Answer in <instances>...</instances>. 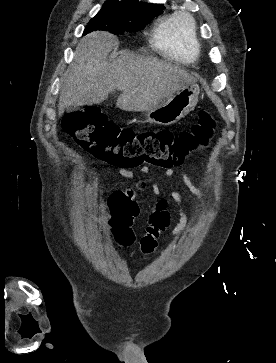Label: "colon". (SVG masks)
Masks as SVG:
<instances>
[{
    "label": "colon",
    "mask_w": 276,
    "mask_h": 363,
    "mask_svg": "<svg viewBox=\"0 0 276 363\" xmlns=\"http://www.w3.org/2000/svg\"><path fill=\"white\" fill-rule=\"evenodd\" d=\"M215 120L207 110H200L197 121L188 130L174 134L161 129L137 134L130 129H120L109 122L97 109L87 108L68 114L63 120L64 131L94 157L121 167L150 164L162 168L181 165L186 157L207 147L215 131ZM111 224L116 227L120 242L131 245L135 241L127 216L117 208L112 209ZM155 227L163 228L164 222L152 220ZM141 250L151 254L156 246L154 233L140 237Z\"/></svg>",
    "instance_id": "5ec220e1"
}]
</instances>
